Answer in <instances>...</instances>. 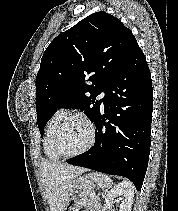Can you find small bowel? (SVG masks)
Segmentation results:
<instances>
[{
    "label": "small bowel",
    "mask_w": 178,
    "mask_h": 211,
    "mask_svg": "<svg viewBox=\"0 0 178 211\" xmlns=\"http://www.w3.org/2000/svg\"><path fill=\"white\" fill-rule=\"evenodd\" d=\"M83 211H99V209L95 208V209H88V210H83Z\"/></svg>",
    "instance_id": "small-bowel-1"
}]
</instances>
